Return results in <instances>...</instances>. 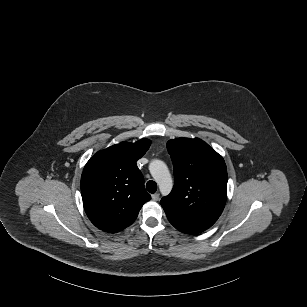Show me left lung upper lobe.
<instances>
[{
    "instance_id": "obj_1",
    "label": "left lung upper lobe",
    "mask_w": 307,
    "mask_h": 307,
    "mask_svg": "<svg viewBox=\"0 0 307 307\" xmlns=\"http://www.w3.org/2000/svg\"><path fill=\"white\" fill-rule=\"evenodd\" d=\"M174 166V187L161 205L174 227L200 233L221 215L227 199V169L221 155L199 138L167 142Z\"/></svg>"
}]
</instances>
